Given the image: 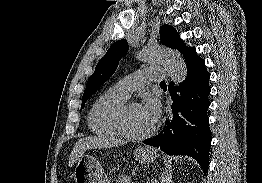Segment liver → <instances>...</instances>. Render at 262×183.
<instances>
[{
	"label": "liver",
	"mask_w": 262,
	"mask_h": 183,
	"mask_svg": "<svg viewBox=\"0 0 262 183\" xmlns=\"http://www.w3.org/2000/svg\"><path fill=\"white\" fill-rule=\"evenodd\" d=\"M125 141L106 136H89L76 142L69 157V166L72 167L87 149L106 148L123 145Z\"/></svg>",
	"instance_id": "obj_1"
}]
</instances>
